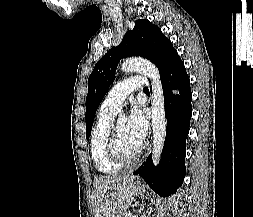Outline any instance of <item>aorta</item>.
Masks as SVG:
<instances>
[{"mask_svg": "<svg viewBox=\"0 0 253 217\" xmlns=\"http://www.w3.org/2000/svg\"><path fill=\"white\" fill-rule=\"evenodd\" d=\"M121 71L125 73L140 72L152 81V157L156 166L159 163L161 153L166 137V116L163 88L160 80L158 68L145 59L130 58L126 59L121 65ZM125 116L121 115L120 120H124Z\"/></svg>", "mask_w": 253, "mask_h": 217, "instance_id": "762f6f07", "label": "aorta"}]
</instances>
